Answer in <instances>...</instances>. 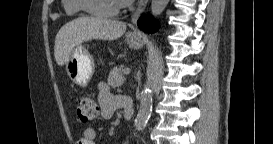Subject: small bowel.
Segmentation results:
<instances>
[{"label":"small bowel","mask_w":273,"mask_h":144,"mask_svg":"<svg viewBox=\"0 0 273 144\" xmlns=\"http://www.w3.org/2000/svg\"><path fill=\"white\" fill-rule=\"evenodd\" d=\"M121 96L114 95L106 83L99 84L98 103L100 115L104 119H111L115 113L123 110ZM97 132L94 128H86L76 144H95Z\"/></svg>","instance_id":"obj_1"}]
</instances>
